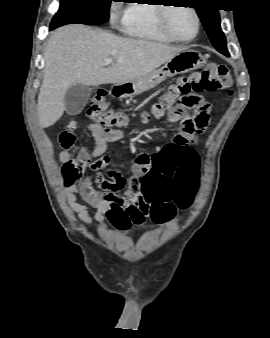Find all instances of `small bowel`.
<instances>
[{
    "mask_svg": "<svg viewBox=\"0 0 270 338\" xmlns=\"http://www.w3.org/2000/svg\"><path fill=\"white\" fill-rule=\"evenodd\" d=\"M183 107V104H181ZM206 115L210 116L213 105L204 102ZM76 121L66 124L59 136L62 146L60 159L62 162L77 160L80 164L82 174L78 181L67 190L66 201L70 209L78 213L79 219L85 225L91 223L89 207L95 208L93 219L99 225L101 231L106 233L108 221L113 215L112 210L117 207L115 197L112 193L102 187L105 177L101 173L109 165V156L106 155L107 143L116 142L122 139V135L102 128L94 123L85 124L86 131L91 134L96 142L92 152H88L81 146V140L76 136L75 131L79 129ZM187 138V142L173 151H168L163 157L153 158L148 155H138L141 160L139 168H148L149 193L154 198V205H168L172 208L171 219L176 210L175 194L179 188L186 189L193 174L198 171V155L191 145L192 135L184 130L181 133ZM94 173V178L88 176L85 171ZM80 196L85 203L77 201ZM141 217L138 224H142ZM126 228V227H125ZM120 228V229H125Z\"/></svg>",
    "mask_w": 270,
    "mask_h": 338,
    "instance_id": "1",
    "label": "small bowel"
}]
</instances>
